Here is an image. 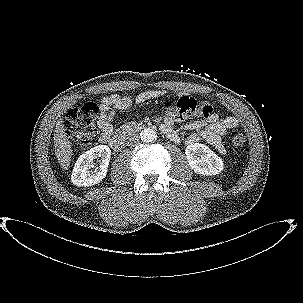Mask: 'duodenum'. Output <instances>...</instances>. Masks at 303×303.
Masks as SVG:
<instances>
[{
    "instance_id": "410a0bca",
    "label": "duodenum",
    "mask_w": 303,
    "mask_h": 303,
    "mask_svg": "<svg viewBox=\"0 0 303 303\" xmlns=\"http://www.w3.org/2000/svg\"><path fill=\"white\" fill-rule=\"evenodd\" d=\"M142 127L141 126H137V125H129L127 128H125L118 136H116L115 138H111L108 142V144L115 150H121L126 136L129 133L135 132V131H139L141 130ZM164 132V131H163ZM166 134V136L168 138H173L175 135L173 132H164Z\"/></svg>"
}]
</instances>
